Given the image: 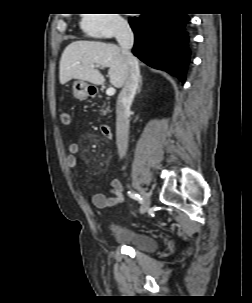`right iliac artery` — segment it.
<instances>
[{"label":"right iliac artery","instance_id":"right-iliac-artery-1","mask_svg":"<svg viewBox=\"0 0 252 303\" xmlns=\"http://www.w3.org/2000/svg\"><path fill=\"white\" fill-rule=\"evenodd\" d=\"M128 195H129V197H131L139 202L143 201V198L139 194H134V193L128 192Z\"/></svg>","mask_w":252,"mask_h":303}]
</instances>
